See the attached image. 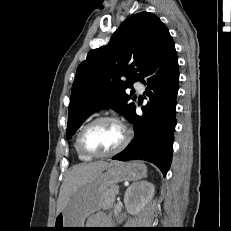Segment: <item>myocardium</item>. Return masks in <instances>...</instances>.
Listing matches in <instances>:
<instances>
[{
	"label": "myocardium",
	"instance_id": "obj_1",
	"mask_svg": "<svg viewBox=\"0 0 231 231\" xmlns=\"http://www.w3.org/2000/svg\"><path fill=\"white\" fill-rule=\"evenodd\" d=\"M103 121H111L117 123L122 128L124 136L121 143L113 150L105 153H93L84 146V135L90 127H92L96 123L103 122ZM130 140H131V131L120 118L113 115H102L94 118L93 120L89 121L87 124H85L82 127L78 135L77 144H78V149L83 155L90 158H104V157L114 156L120 153L123 149H125V147L128 145Z\"/></svg>",
	"mask_w": 231,
	"mask_h": 231
}]
</instances>
